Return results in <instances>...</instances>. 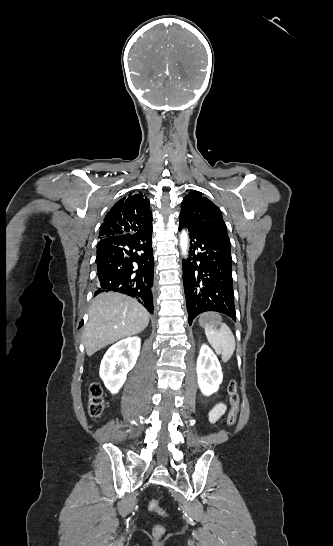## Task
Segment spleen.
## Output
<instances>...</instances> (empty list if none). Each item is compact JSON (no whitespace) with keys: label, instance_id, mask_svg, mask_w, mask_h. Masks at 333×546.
Returning <instances> with one entry per match:
<instances>
[{"label":"spleen","instance_id":"3e777b00","mask_svg":"<svg viewBox=\"0 0 333 546\" xmlns=\"http://www.w3.org/2000/svg\"><path fill=\"white\" fill-rule=\"evenodd\" d=\"M217 319L219 328H216L213 323H207L204 327L208 342L213 347L217 354H221L222 360L227 362L232 357L236 342L231 329L222 323L221 316L214 314Z\"/></svg>","mask_w":333,"mask_h":546}]
</instances>
